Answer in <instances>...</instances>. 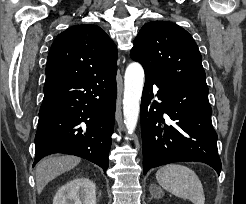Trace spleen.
Instances as JSON below:
<instances>
[{
  "instance_id": "3e777b00",
  "label": "spleen",
  "mask_w": 246,
  "mask_h": 204,
  "mask_svg": "<svg viewBox=\"0 0 246 204\" xmlns=\"http://www.w3.org/2000/svg\"><path fill=\"white\" fill-rule=\"evenodd\" d=\"M159 185L183 199H189L193 204H204L205 195L202 183L197 174L187 166L168 164L156 172Z\"/></svg>"
}]
</instances>
